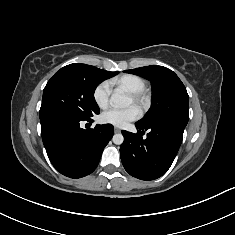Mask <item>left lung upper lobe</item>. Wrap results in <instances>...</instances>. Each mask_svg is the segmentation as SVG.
Here are the masks:
<instances>
[{"mask_svg":"<svg viewBox=\"0 0 235 235\" xmlns=\"http://www.w3.org/2000/svg\"><path fill=\"white\" fill-rule=\"evenodd\" d=\"M148 79L152 84V105L137 123L150 126L171 122L186 126L189 119V96L178 76L163 66H145L125 70Z\"/></svg>","mask_w":235,"mask_h":235,"instance_id":"obj_1","label":"left lung upper lobe"}]
</instances>
